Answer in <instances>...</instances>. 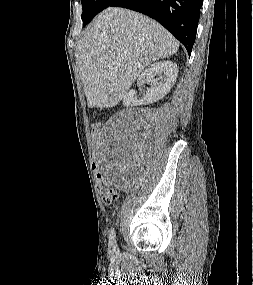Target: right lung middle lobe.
Returning <instances> with one entry per match:
<instances>
[{
	"instance_id": "1",
	"label": "right lung middle lobe",
	"mask_w": 253,
	"mask_h": 285,
	"mask_svg": "<svg viewBox=\"0 0 253 285\" xmlns=\"http://www.w3.org/2000/svg\"><path fill=\"white\" fill-rule=\"evenodd\" d=\"M116 0H81L83 26L88 24L99 12L109 7Z\"/></svg>"
}]
</instances>
